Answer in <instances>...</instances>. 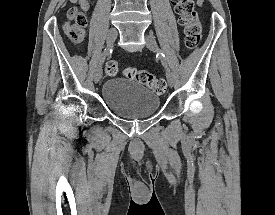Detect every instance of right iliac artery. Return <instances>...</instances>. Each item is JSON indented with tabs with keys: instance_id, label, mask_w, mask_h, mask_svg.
Listing matches in <instances>:
<instances>
[{
	"instance_id": "82829eb1",
	"label": "right iliac artery",
	"mask_w": 275,
	"mask_h": 215,
	"mask_svg": "<svg viewBox=\"0 0 275 215\" xmlns=\"http://www.w3.org/2000/svg\"><path fill=\"white\" fill-rule=\"evenodd\" d=\"M111 52H112V46L107 47V48L104 50V53L102 54L100 60H104V59H105V56H106L108 53H111Z\"/></svg>"
}]
</instances>
